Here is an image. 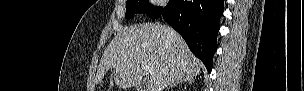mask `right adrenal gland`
<instances>
[{
    "instance_id": "obj_1",
    "label": "right adrenal gland",
    "mask_w": 304,
    "mask_h": 91,
    "mask_svg": "<svg viewBox=\"0 0 304 91\" xmlns=\"http://www.w3.org/2000/svg\"><path fill=\"white\" fill-rule=\"evenodd\" d=\"M183 82H187L189 84H192L194 81H193L192 78L181 79L179 81L171 83L168 88H174L175 86H177L178 84L183 83Z\"/></svg>"
}]
</instances>
